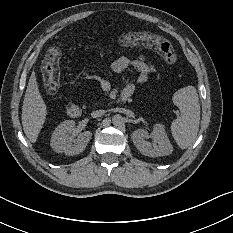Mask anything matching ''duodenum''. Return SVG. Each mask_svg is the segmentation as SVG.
Returning a JSON list of instances; mask_svg holds the SVG:
<instances>
[{"mask_svg": "<svg viewBox=\"0 0 233 233\" xmlns=\"http://www.w3.org/2000/svg\"><path fill=\"white\" fill-rule=\"evenodd\" d=\"M121 100L126 101V98L124 96H121ZM66 111H67V114L72 118H77L81 115L80 107L73 102H70L67 105Z\"/></svg>", "mask_w": 233, "mask_h": 233, "instance_id": "obj_1", "label": "duodenum"}]
</instances>
